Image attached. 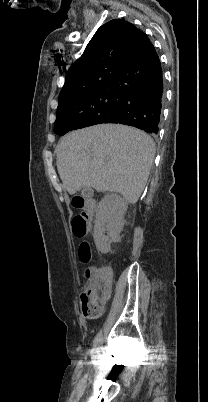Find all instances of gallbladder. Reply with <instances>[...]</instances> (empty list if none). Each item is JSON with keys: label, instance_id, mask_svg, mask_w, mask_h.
<instances>
[{"label": "gallbladder", "instance_id": "bac80fb5", "mask_svg": "<svg viewBox=\"0 0 208 402\" xmlns=\"http://www.w3.org/2000/svg\"><path fill=\"white\" fill-rule=\"evenodd\" d=\"M94 189L91 186L86 187L83 191L82 196L84 199H91L93 196Z\"/></svg>", "mask_w": 208, "mask_h": 402}]
</instances>
